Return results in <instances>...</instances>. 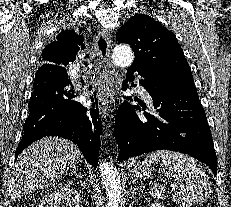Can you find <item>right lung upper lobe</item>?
<instances>
[{"label": "right lung upper lobe", "instance_id": "cb5924a9", "mask_svg": "<svg viewBox=\"0 0 231 207\" xmlns=\"http://www.w3.org/2000/svg\"><path fill=\"white\" fill-rule=\"evenodd\" d=\"M57 39V41L51 42L44 48L40 58L44 63L43 66L67 65L69 62H73L76 58V52L79 50L77 44L81 45L83 43L81 38L72 39L61 34L58 35Z\"/></svg>", "mask_w": 231, "mask_h": 207}]
</instances>
